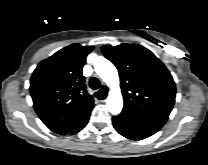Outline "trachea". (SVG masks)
Wrapping results in <instances>:
<instances>
[{"label":"trachea","instance_id":"trachea-1","mask_svg":"<svg viewBox=\"0 0 208 165\" xmlns=\"http://www.w3.org/2000/svg\"><path fill=\"white\" fill-rule=\"evenodd\" d=\"M89 86L92 90H97L100 87V81L96 77H92L89 81ZM107 89L102 87L98 92L94 95L96 98L103 100L106 97Z\"/></svg>","mask_w":208,"mask_h":165}]
</instances>
